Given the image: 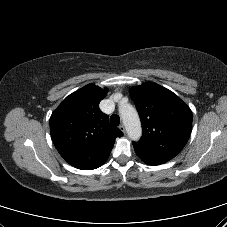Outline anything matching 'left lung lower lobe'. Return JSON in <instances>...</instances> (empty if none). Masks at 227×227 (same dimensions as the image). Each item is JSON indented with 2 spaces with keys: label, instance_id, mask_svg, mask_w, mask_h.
<instances>
[{
  "label": "left lung lower lobe",
  "instance_id": "0a47b994",
  "mask_svg": "<svg viewBox=\"0 0 227 227\" xmlns=\"http://www.w3.org/2000/svg\"><path fill=\"white\" fill-rule=\"evenodd\" d=\"M137 156L140 159H142L141 156H139L138 154H137ZM142 160L149 165H159V164H163V163L167 162V161H162V160H157V159H142Z\"/></svg>",
  "mask_w": 227,
  "mask_h": 227
}]
</instances>
